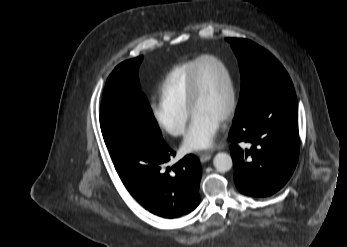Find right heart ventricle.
Instances as JSON below:
<instances>
[{
  "label": "right heart ventricle",
  "mask_w": 347,
  "mask_h": 247,
  "mask_svg": "<svg viewBox=\"0 0 347 247\" xmlns=\"http://www.w3.org/2000/svg\"><path fill=\"white\" fill-rule=\"evenodd\" d=\"M198 58L176 65L165 76L161 87L160 96L165 102L181 108L187 107V93L190 72Z\"/></svg>",
  "instance_id": "right-heart-ventricle-1"
}]
</instances>
